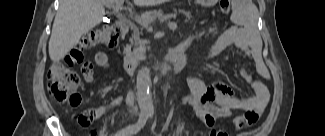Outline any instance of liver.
Listing matches in <instances>:
<instances>
[{"label":"liver","instance_id":"obj_1","mask_svg":"<svg viewBox=\"0 0 325 136\" xmlns=\"http://www.w3.org/2000/svg\"><path fill=\"white\" fill-rule=\"evenodd\" d=\"M120 0H60L49 40V56L58 62L80 38L96 27L105 15L104 5ZM140 6L157 5L164 0H133Z\"/></svg>","mask_w":325,"mask_h":136}]
</instances>
